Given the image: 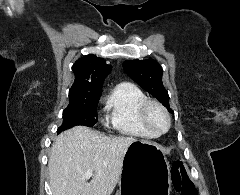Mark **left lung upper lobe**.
I'll list each match as a JSON object with an SVG mask.
<instances>
[{
    "mask_svg": "<svg viewBox=\"0 0 240 195\" xmlns=\"http://www.w3.org/2000/svg\"><path fill=\"white\" fill-rule=\"evenodd\" d=\"M123 67L131 79L173 113L169 106L168 92L162 82L163 70L155 60H128L123 63Z\"/></svg>",
    "mask_w": 240,
    "mask_h": 195,
    "instance_id": "left-lung-upper-lobe-1",
    "label": "left lung upper lobe"
}]
</instances>
